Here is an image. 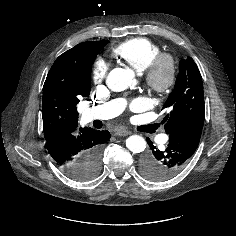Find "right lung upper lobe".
Here are the masks:
<instances>
[{
  "label": "right lung upper lobe",
  "instance_id": "right-lung-upper-lobe-1",
  "mask_svg": "<svg viewBox=\"0 0 236 236\" xmlns=\"http://www.w3.org/2000/svg\"><path fill=\"white\" fill-rule=\"evenodd\" d=\"M108 41L83 42L60 55L52 65L43 87L42 118L46 141L75 135L77 104L89 94L84 89L85 74L97 51Z\"/></svg>",
  "mask_w": 236,
  "mask_h": 236
}]
</instances>
